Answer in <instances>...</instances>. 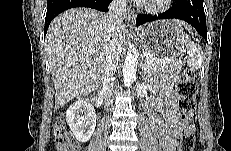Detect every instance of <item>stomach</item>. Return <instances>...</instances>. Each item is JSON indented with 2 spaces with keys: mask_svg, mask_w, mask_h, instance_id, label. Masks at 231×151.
<instances>
[{
  "mask_svg": "<svg viewBox=\"0 0 231 151\" xmlns=\"http://www.w3.org/2000/svg\"><path fill=\"white\" fill-rule=\"evenodd\" d=\"M188 38L176 20H161L141 30L140 41L149 53L168 59L178 58L185 52L184 39Z\"/></svg>",
  "mask_w": 231,
  "mask_h": 151,
  "instance_id": "1",
  "label": "stomach"
}]
</instances>
